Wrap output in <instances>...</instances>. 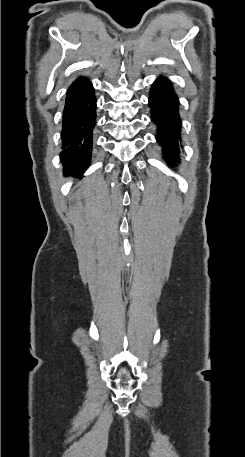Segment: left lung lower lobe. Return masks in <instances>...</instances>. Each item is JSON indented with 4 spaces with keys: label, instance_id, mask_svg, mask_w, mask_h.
<instances>
[{
    "label": "left lung lower lobe",
    "instance_id": "left-lung-lower-lobe-1",
    "mask_svg": "<svg viewBox=\"0 0 245 457\" xmlns=\"http://www.w3.org/2000/svg\"><path fill=\"white\" fill-rule=\"evenodd\" d=\"M149 107L156 126V141L162 147V157L171 166L181 162L182 123L179 99L166 77L158 78L150 89Z\"/></svg>",
    "mask_w": 245,
    "mask_h": 457
}]
</instances>
